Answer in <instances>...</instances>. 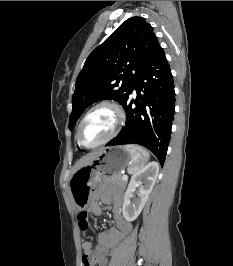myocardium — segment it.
I'll return each mask as SVG.
<instances>
[{"instance_id":"1","label":"myocardium","mask_w":233,"mask_h":266,"mask_svg":"<svg viewBox=\"0 0 233 266\" xmlns=\"http://www.w3.org/2000/svg\"><path fill=\"white\" fill-rule=\"evenodd\" d=\"M101 107H110L111 109L114 110L115 114H116V121L114 124V127L112 129V131L110 132V134L104 138L103 140H101L100 142L93 144V145H86L82 142L81 140V129L82 126L84 124V122L86 121V119L97 109L101 108ZM125 122V113L124 110L122 108V106L114 101V100H103L100 101L99 103L95 104L92 108H90L86 114L83 116V118L81 119L78 128H77V132H76V138H77V142L78 144L86 149H93L96 147H99L101 145H104L106 143H108L109 141H111L113 138H115L117 136V134L119 133V131L121 130L123 124Z\"/></svg>"}]
</instances>
